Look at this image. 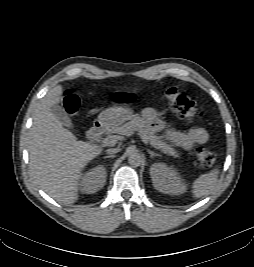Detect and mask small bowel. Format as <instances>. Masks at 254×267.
<instances>
[{
    "label": "small bowel",
    "instance_id": "c3829d8e",
    "mask_svg": "<svg viewBox=\"0 0 254 267\" xmlns=\"http://www.w3.org/2000/svg\"><path fill=\"white\" fill-rule=\"evenodd\" d=\"M142 114L155 130L162 131L168 140L184 149L204 144L209 139L208 132L201 127H193L185 132L168 127L153 108H145Z\"/></svg>",
    "mask_w": 254,
    "mask_h": 267
}]
</instances>
